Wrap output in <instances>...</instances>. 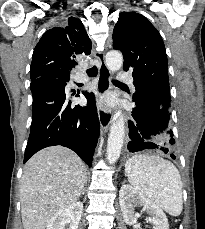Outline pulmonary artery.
<instances>
[{"instance_id":"e3ab8cb5","label":"pulmonary artery","mask_w":205,"mask_h":229,"mask_svg":"<svg viewBox=\"0 0 205 229\" xmlns=\"http://www.w3.org/2000/svg\"><path fill=\"white\" fill-rule=\"evenodd\" d=\"M119 79L124 84H133L134 83V79H133L132 75H130L127 72H121L119 75ZM79 81L84 82L85 80L79 79Z\"/></svg>"}]
</instances>
